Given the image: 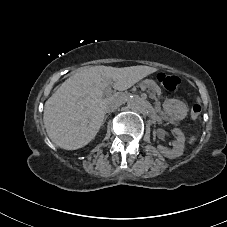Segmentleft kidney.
<instances>
[{
	"label": "left kidney",
	"instance_id": "5707ae66",
	"mask_svg": "<svg viewBox=\"0 0 227 227\" xmlns=\"http://www.w3.org/2000/svg\"><path fill=\"white\" fill-rule=\"evenodd\" d=\"M171 132L177 136V140L173 144V149H168L161 145H159L157 148L160 151V153H162L165 157L169 159H174L183 154L184 147H185L184 145L185 136L179 128H174L171 130Z\"/></svg>",
	"mask_w": 227,
	"mask_h": 227
}]
</instances>
